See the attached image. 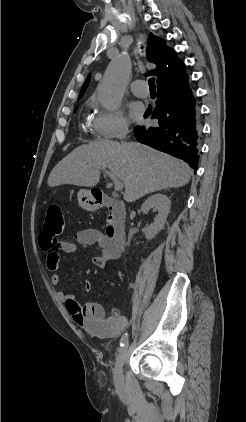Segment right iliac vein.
<instances>
[{
  "mask_svg": "<svg viewBox=\"0 0 246 422\" xmlns=\"http://www.w3.org/2000/svg\"><path fill=\"white\" fill-rule=\"evenodd\" d=\"M128 343H126L120 350L117 356L116 365L114 368L113 376L114 382L118 389L124 385L123 366L127 357Z\"/></svg>",
  "mask_w": 246,
  "mask_h": 422,
  "instance_id": "obj_1",
  "label": "right iliac vein"
}]
</instances>
